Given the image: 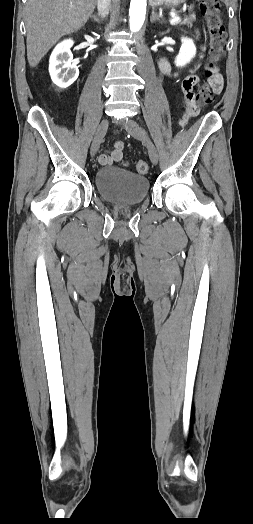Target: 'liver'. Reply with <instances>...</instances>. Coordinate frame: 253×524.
<instances>
[{
	"instance_id": "6515ba94",
	"label": "liver",
	"mask_w": 253,
	"mask_h": 524,
	"mask_svg": "<svg viewBox=\"0 0 253 524\" xmlns=\"http://www.w3.org/2000/svg\"><path fill=\"white\" fill-rule=\"evenodd\" d=\"M97 0H28L26 3L27 59L36 67L64 35L81 29Z\"/></svg>"
}]
</instances>
